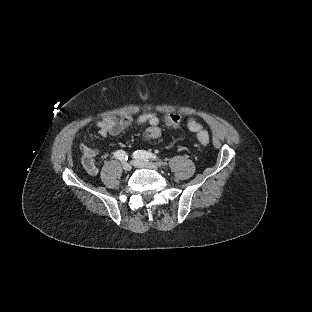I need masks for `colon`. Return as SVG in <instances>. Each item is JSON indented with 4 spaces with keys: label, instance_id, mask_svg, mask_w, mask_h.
Returning a JSON list of instances; mask_svg holds the SVG:
<instances>
[{
    "label": "colon",
    "instance_id": "obj_1",
    "mask_svg": "<svg viewBox=\"0 0 312 312\" xmlns=\"http://www.w3.org/2000/svg\"><path fill=\"white\" fill-rule=\"evenodd\" d=\"M165 121L170 126H173V125L177 126V125L180 124L181 119L177 115L169 114V115L166 116ZM150 135L152 136V138L157 139V138L160 137L161 132H160V130L157 127H154V126L144 127L140 131V140L142 142H147L149 140V136ZM198 139H199V142L202 145H204V146L208 145L209 142H210L209 136L205 132L199 133L198 134Z\"/></svg>",
    "mask_w": 312,
    "mask_h": 312
}]
</instances>
